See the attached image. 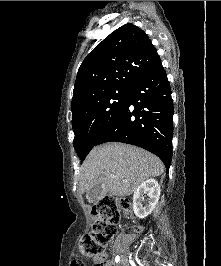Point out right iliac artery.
Returning <instances> with one entry per match:
<instances>
[{
    "label": "right iliac artery",
    "mask_w": 221,
    "mask_h": 266,
    "mask_svg": "<svg viewBox=\"0 0 221 266\" xmlns=\"http://www.w3.org/2000/svg\"><path fill=\"white\" fill-rule=\"evenodd\" d=\"M115 261H116V263H118L120 261V257L116 256Z\"/></svg>",
    "instance_id": "obj_1"
}]
</instances>
